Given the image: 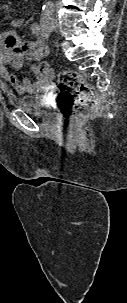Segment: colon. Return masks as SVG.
<instances>
[{
	"instance_id": "1",
	"label": "colon",
	"mask_w": 127,
	"mask_h": 303,
	"mask_svg": "<svg viewBox=\"0 0 127 303\" xmlns=\"http://www.w3.org/2000/svg\"><path fill=\"white\" fill-rule=\"evenodd\" d=\"M9 41L15 42L14 39ZM47 69L48 64L46 62L40 64V72L44 73ZM57 83L62 90L60 106L65 115H77L79 112L87 110L94 105L96 99L95 90L80 73L72 70L60 71L57 75Z\"/></svg>"
}]
</instances>
